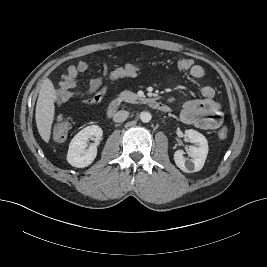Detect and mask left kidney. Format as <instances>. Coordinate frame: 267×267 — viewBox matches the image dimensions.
Returning a JSON list of instances; mask_svg holds the SVG:
<instances>
[{
    "mask_svg": "<svg viewBox=\"0 0 267 267\" xmlns=\"http://www.w3.org/2000/svg\"><path fill=\"white\" fill-rule=\"evenodd\" d=\"M185 134L189 141L195 144V146H190L187 152L191 159L186 161L184 152L182 150H177L174 153V161L177 167L183 172H198L203 168L208 154L207 139L204 135L193 129L186 130Z\"/></svg>",
    "mask_w": 267,
    "mask_h": 267,
    "instance_id": "left-kidney-1",
    "label": "left kidney"
}]
</instances>
